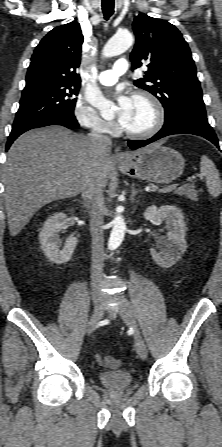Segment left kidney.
<instances>
[{
    "mask_svg": "<svg viewBox=\"0 0 222 447\" xmlns=\"http://www.w3.org/2000/svg\"><path fill=\"white\" fill-rule=\"evenodd\" d=\"M144 218L159 224L163 221L166 222L169 232L157 241V248L160 252L152 248L150 253L159 266L163 268L173 266L181 259L187 248L186 224L181 210L172 205H163L160 208L152 205L145 210Z\"/></svg>",
    "mask_w": 222,
    "mask_h": 447,
    "instance_id": "left-kidney-1",
    "label": "left kidney"
}]
</instances>
